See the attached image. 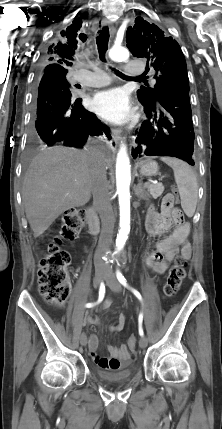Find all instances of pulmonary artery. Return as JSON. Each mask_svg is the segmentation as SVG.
<instances>
[{"label": "pulmonary artery", "mask_w": 222, "mask_h": 429, "mask_svg": "<svg viewBox=\"0 0 222 429\" xmlns=\"http://www.w3.org/2000/svg\"><path fill=\"white\" fill-rule=\"evenodd\" d=\"M93 71L90 72L84 68L78 71L79 74V82H81L85 86L89 87H102L108 85L111 82L110 76L104 71L100 70L96 66H89ZM125 72L128 76H140L144 73V68L139 65L138 62H128L125 65ZM89 74V77H83V74Z\"/></svg>", "instance_id": "1"}]
</instances>
